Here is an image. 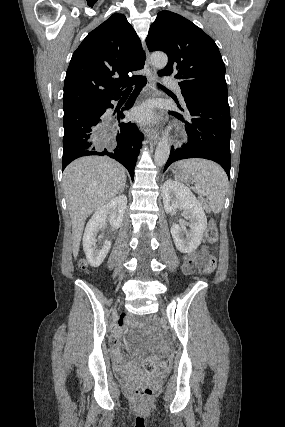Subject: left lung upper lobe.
<instances>
[{
  "mask_svg": "<svg viewBox=\"0 0 285 427\" xmlns=\"http://www.w3.org/2000/svg\"><path fill=\"white\" fill-rule=\"evenodd\" d=\"M146 44L163 51L168 64L160 73L179 80L182 95L212 96L228 101L225 65L214 40L194 23L161 11L152 23Z\"/></svg>",
  "mask_w": 285,
  "mask_h": 427,
  "instance_id": "obj_1",
  "label": "left lung upper lobe"
}]
</instances>
